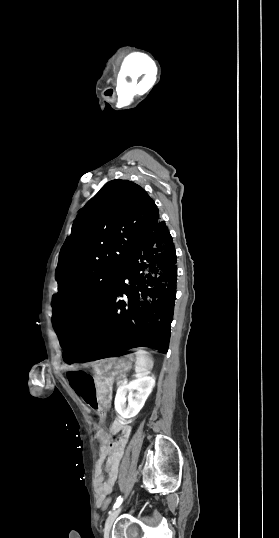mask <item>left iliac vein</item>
Wrapping results in <instances>:
<instances>
[{
    "mask_svg": "<svg viewBox=\"0 0 279 538\" xmlns=\"http://www.w3.org/2000/svg\"><path fill=\"white\" fill-rule=\"evenodd\" d=\"M121 510H122V506L114 509L107 517L106 522H105V527H104V538H109L111 527L115 519L117 518V516L120 514Z\"/></svg>",
    "mask_w": 279,
    "mask_h": 538,
    "instance_id": "obj_1",
    "label": "left iliac vein"
}]
</instances>
